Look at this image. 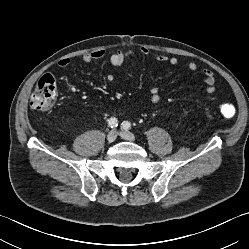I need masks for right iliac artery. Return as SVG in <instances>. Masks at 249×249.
<instances>
[{
	"mask_svg": "<svg viewBox=\"0 0 249 249\" xmlns=\"http://www.w3.org/2000/svg\"><path fill=\"white\" fill-rule=\"evenodd\" d=\"M108 125L111 127V128H115L118 126V120L114 117L110 118L108 120Z\"/></svg>",
	"mask_w": 249,
	"mask_h": 249,
	"instance_id": "obj_1",
	"label": "right iliac artery"
}]
</instances>
